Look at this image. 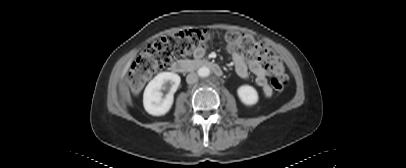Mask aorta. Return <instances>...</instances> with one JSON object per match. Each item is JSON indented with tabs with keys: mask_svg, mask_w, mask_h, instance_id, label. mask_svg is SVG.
Segmentation results:
<instances>
[{
	"mask_svg": "<svg viewBox=\"0 0 406 168\" xmlns=\"http://www.w3.org/2000/svg\"><path fill=\"white\" fill-rule=\"evenodd\" d=\"M198 76L199 77H202V78H204V77H207V76H209V74H210V69L208 68V67H201V68H199L198 69Z\"/></svg>",
	"mask_w": 406,
	"mask_h": 168,
	"instance_id": "1",
	"label": "aorta"
}]
</instances>
